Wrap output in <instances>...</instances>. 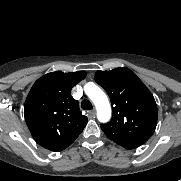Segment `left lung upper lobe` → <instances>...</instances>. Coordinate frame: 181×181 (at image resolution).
Masks as SVG:
<instances>
[{
	"label": "left lung upper lobe",
	"instance_id": "obj_1",
	"mask_svg": "<svg viewBox=\"0 0 181 181\" xmlns=\"http://www.w3.org/2000/svg\"><path fill=\"white\" fill-rule=\"evenodd\" d=\"M95 81L110 97L113 117L101 129L126 149L143 145L157 125V105L152 93L129 68L97 71Z\"/></svg>",
	"mask_w": 181,
	"mask_h": 181
}]
</instances>
